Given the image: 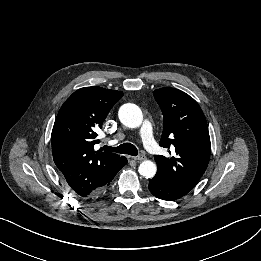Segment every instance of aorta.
Wrapping results in <instances>:
<instances>
[{"label":"aorta","mask_w":261,"mask_h":261,"mask_svg":"<svg viewBox=\"0 0 261 261\" xmlns=\"http://www.w3.org/2000/svg\"><path fill=\"white\" fill-rule=\"evenodd\" d=\"M118 115L120 122L129 128H137L143 121L141 109L132 103L122 105ZM138 171L145 178H153L157 172V166L154 162L146 160L139 165Z\"/></svg>","instance_id":"1"}]
</instances>
